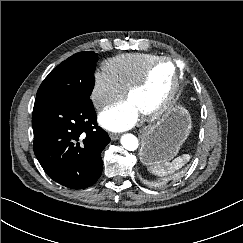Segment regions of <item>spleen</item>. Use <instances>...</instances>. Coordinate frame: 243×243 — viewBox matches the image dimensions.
Here are the masks:
<instances>
[{"instance_id": "1", "label": "spleen", "mask_w": 243, "mask_h": 243, "mask_svg": "<svg viewBox=\"0 0 243 243\" xmlns=\"http://www.w3.org/2000/svg\"><path fill=\"white\" fill-rule=\"evenodd\" d=\"M190 160V155L183 154L175 158L172 162L159 163L148 167V170L157 176H165L169 173H173L175 170L180 169Z\"/></svg>"}]
</instances>
